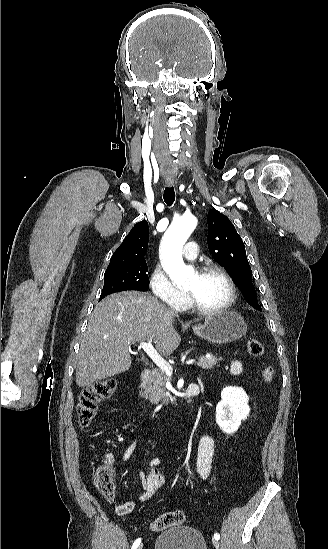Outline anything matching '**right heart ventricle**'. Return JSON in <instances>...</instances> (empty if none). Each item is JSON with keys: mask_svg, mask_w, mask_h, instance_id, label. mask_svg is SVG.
Instances as JSON below:
<instances>
[{"mask_svg": "<svg viewBox=\"0 0 328 549\" xmlns=\"http://www.w3.org/2000/svg\"><path fill=\"white\" fill-rule=\"evenodd\" d=\"M178 303H180V307H181V308H183L184 306H186L187 301H186L185 296H184V298H182Z\"/></svg>", "mask_w": 328, "mask_h": 549, "instance_id": "e07e8e85", "label": "right heart ventricle"}]
</instances>
